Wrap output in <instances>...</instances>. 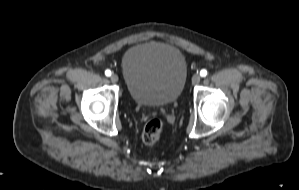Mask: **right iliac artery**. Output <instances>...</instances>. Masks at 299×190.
Segmentation results:
<instances>
[{
  "mask_svg": "<svg viewBox=\"0 0 299 190\" xmlns=\"http://www.w3.org/2000/svg\"><path fill=\"white\" fill-rule=\"evenodd\" d=\"M105 75L108 76V77L111 76V71L110 70H106L105 71Z\"/></svg>",
  "mask_w": 299,
  "mask_h": 190,
  "instance_id": "obj_1",
  "label": "right iliac artery"
}]
</instances>
